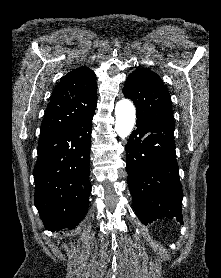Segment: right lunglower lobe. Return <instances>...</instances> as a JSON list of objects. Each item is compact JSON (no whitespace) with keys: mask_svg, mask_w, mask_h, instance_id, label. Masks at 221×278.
<instances>
[{"mask_svg":"<svg viewBox=\"0 0 221 278\" xmlns=\"http://www.w3.org/2000/svg\"><path fill=\"white\" fill-rule=\"evenodd\" d=\"M93 115L38 144L34 204L47 230L73 229L87 213Z\"/></svg>","mask_w":221,"mask_h":278,"instance_id":"1","label":"right lung lower lobe"}]
</instances>
